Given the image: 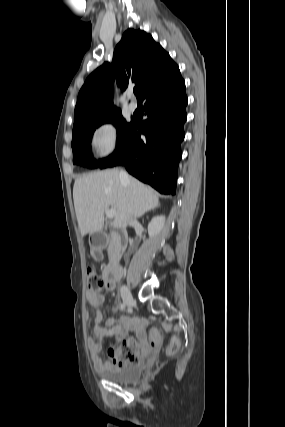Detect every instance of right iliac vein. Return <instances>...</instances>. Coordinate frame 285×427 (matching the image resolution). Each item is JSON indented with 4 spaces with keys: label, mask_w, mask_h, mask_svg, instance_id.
<instances>
[{
    "label": "right iliac vein",
    "mask_w": 285,
    "mask_h": 427,
    "mask_svg": "<svg viewBox=\"0 0 285 427\" xmlns=\"http://www.w3.org/2000/svg\"><path fill=\"white\" fill-rule=\"evenodd\" d=\"M121 296H122L124 304L128 308H130L134 303V299H133V296H132L130 290L126 286H123L121 288Z\"/></svg>",
    "instance_id": "right-iliac-vein-1"
}]
</instances>
